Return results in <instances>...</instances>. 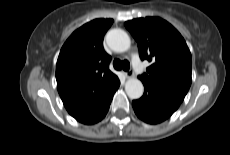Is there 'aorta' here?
Listing matches in <instances>:
<instances>
[{"label": "aorta", "instance_id": "aorta-1", "mask_svg": "<svg viewBox=\"0 0 230 155\" xmlns=\"http://www.w3.org/2000/svg\"><path fill=\"white\" fill-rule=\"evenodd\" d=\"M106 41L115 52H125L130 48L131 41L122 29H112L107 33ZM125 91L130 99H139L144 92L142 82L137 78H130L125 83Z\"/></svg>", "mask_w": 230, "mask_h": 155}]
</instances>
